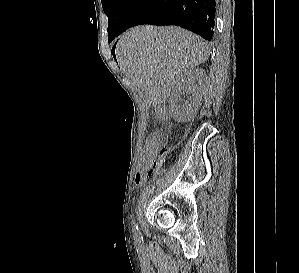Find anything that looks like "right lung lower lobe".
Returning a JSON list of instances; mask_svg holds the SVG:
<instances>
[{"label":"right lung lower lobe","mask_w":299,"mask_h":273,"mask_svg":"<svg viewBox=\"0 0 299 273\" xmlns=\"http://www.w3.org/2000/svg\"><path fill=\"white\" fill-rule=\"evenodd\" d=\"M216 0H134L116 34L139 24L176 25L211 41Z\"/></svg>","instance_id":"1"}]
</instances>
